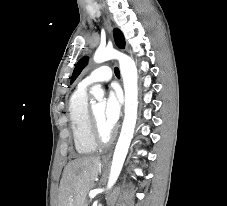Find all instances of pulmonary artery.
Masks as SVG:
<instances>
[{"label": "pulmonary artery", "mask_w": 227, "mask_h": 206, "mask_svg": "<svg viewBox=\"0 0 227 206\" xmlns=\"http://www.w3.org/2000/svg\"><path fill=\"white\" fill-rule=\"evenodd\" d=\"M113 76V72L109 66H100L93 70L88 76H86L79 84V87L86 89L92 84L107 82Z\"/></svg>", "instance_id": "1"}]
</instances>
